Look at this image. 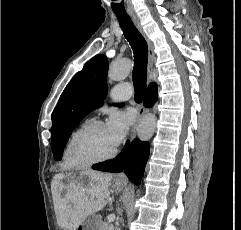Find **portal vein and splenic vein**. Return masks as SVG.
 <instances>
[{"instance_id":"1","label":"portal vein and splenic vein","mask_w":241,"mask_h":230,"mask_svg":"<svg viewBox=\"0 0 241 230\" xmlns=\"http://www.w3.org/2000/svg\"><path fill=\"white\" fill-rule=\"evenodd\" d=\"M115 220V215L108 216V222H113Z\"/></svg>"}]
</instances>
